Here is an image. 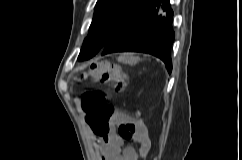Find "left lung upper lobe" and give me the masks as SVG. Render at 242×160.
Masks as SVG:
<instances>
[{
	"label": "left lung upper lobe",
	"instance_id": "obj_1",
	"mask_svg": "<svg viewBox=\"0 0 242 160\" xmlns=\"http://www.w3.org/2000/svg\"><path fill=\"white\" fill-rule=\"evenodd\" d=\"M155 0H98L78 60H87L101 51Z\"/></svg>",
	"mask_w": 242,
	"mask_h": 160
}]
</instances>
